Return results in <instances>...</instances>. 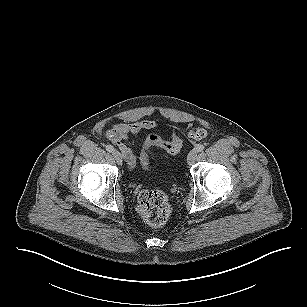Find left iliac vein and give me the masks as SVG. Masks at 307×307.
I'll list each match as a JSON object with an SVG mask.
<instances>
[{
    "instance_id": "4c4485c4",
    "label": "left iliac vein",
    "mask_w": 307,
    "mask_h": 307,
    "mask_svg": "<svg viewBox=\"0 0 307 307\" xmlns=\"http://www.w3.org/2000/svg\"><path fill=\"white\" fill-rule=\"evenodd\" d=\"M197 157V151L195 149L191 150L187 156L188 165H192Z\"/></svg>"
}]
</instances>
